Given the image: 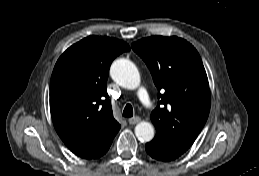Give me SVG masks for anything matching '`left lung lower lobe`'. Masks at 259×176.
Segmentation results:
<instances>
[{
    "label": "left lung lower lobe",
    "instance_id": "1",
    "mask_svg": "<svg viewBox=\"0 0 259 176\" xmlns=\"http://www.w3.org/2000/svg\"><path fill=\"white\" fill-rule=\"evenodd\" d=\"M147 153L154 159L159 161H171L179 156H175L173 154H169L165 152L162 148H159L157 146H154L153 143L149 142L145 146Z\"/></svg>",
    "mask_w": 259,
    "mask_h": 176
}]
</instances>
